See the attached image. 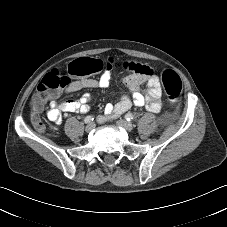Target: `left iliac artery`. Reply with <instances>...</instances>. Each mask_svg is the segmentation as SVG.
I'll list each match as a JSON object with an SVG mask.
<instances>
[{
    "label": "left iliac artery",
    "mask_w": 227,
    "mask_h": 227,
    "mask_svg": "<svg viewBox=\"0 0 227 227\" xmlns=\"http://www.w3.org/2000/svg\"><path fill=\"white\" fill-rule=\"evenodd\" d=\"M125 119H126L127 121H131V120L134 119V115H132L131 113H128V114L125 115Z\"/></svg>",
    "instance_id": "1"
}]
</instances>
